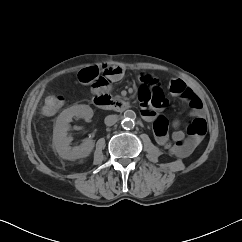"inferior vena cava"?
I'll list each match as a JSON object with an SVG mask.
<instances>
[{
	"label": "inferior vena cava",
	"mask_w": 242,
	"mask_h": 242,
	"mask_svg": "<svg viewBox=\"0 0 242 242\" xmlns=\"http://www.w3.org/2000/svg\"><path fill=\"white\" fill-rule=\"evenodd\" d=\"M118 121V116L117 115H108L105 117V124L107 126H112Z\"/></svg>",
	"instance_id": "602c4592"
}]
</instances>
